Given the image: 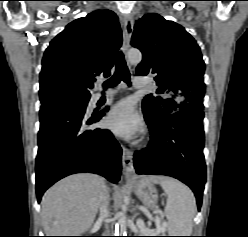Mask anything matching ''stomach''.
Here are the masks:
<instances>
[{
  "instance_id": "1",
  "label": "stomach",
  "mask_w": 248,
  "mask_h": 237,
  "mask_svg": "<svg viewBox=\"0 0 248 237\" xmlns=\"http://www.w3.org/2000/svg\"><path fill=\"white\" fill-rule=\"evenodd\" d=\"M135 195L147 208L154 210L157 207L158 192L154 182L149 177H143L133 183Z\"/></svg>"
}]
</instances>
